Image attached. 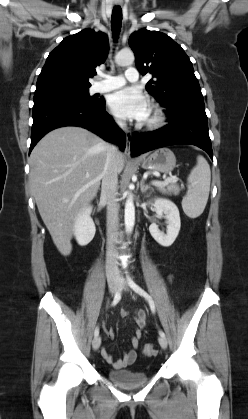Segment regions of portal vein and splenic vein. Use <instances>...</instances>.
Here are the masks:
<instances>
[{
	"instance_id": "obj_1",
	"label": "portal vein and splenic vein",
	"mask_w": 248,
	"mask_h": 419,
	"mask_svg": "<svg viewBox=\"0 0 248 419\" xmlns=\"http://www.w3.org/2000/svg\"><path fill=\"white\" fill-rule=\"evenodd\" d=\"M177 181H178V178L176 176H171V177L165 179L164 182L152 181V185H154V186H165L168 183H176Z\"/></svg>"
}]
</instances>
